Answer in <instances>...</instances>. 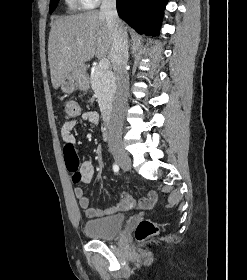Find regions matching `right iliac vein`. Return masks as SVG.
I'll return each mask as SVG.
<instances>
[{
  "mask_svg": "<svg viewBox=\"0 0 247 280\" xmlns=\"http://www.w3.org/2000/svg\"><path fill=\"white\" fill-rule=\"evenodd\" d=\"M111 153L115 161L124 169L129 170L131 168V159L125 150L119 145H112L110 147Z\"/></svg>",
  "mask_w": 247,
  "mask_h": 280,
  "instance_id": "right-iliac-vein-1",
  "label": "right iliac vein"
}]
</instances>
